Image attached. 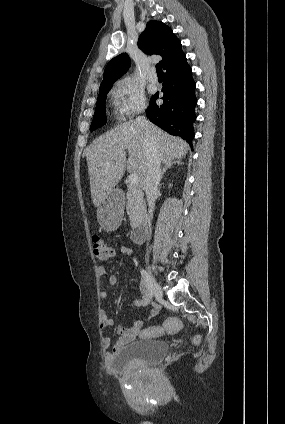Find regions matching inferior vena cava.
<instances>
[{"mask_svg": "<svg viewBox=\"0 0 285 424\" xmlns=\"http://www.w3.org/2000/svg\"><path fill=\"white\" fill-rule=\"evenodd\" d=\"M137 123L145 130V144L147 155V174L145 178L144 190L147 197L149 206L148 210V223L151 227V220L153 218V211L155 207V198L158 191V186L161 180V159L158 154L156 142L152 137L149 122L144 116H139L136 119Z\"/></svg>", "mask_w": 285, "mask_h": 424, "instance_id": "1", "label": "inferior vena cava"}]
</instances>
